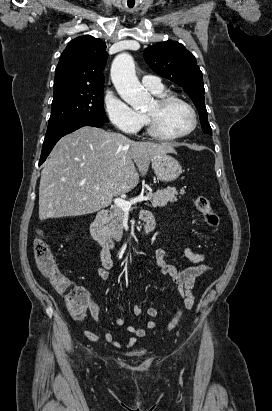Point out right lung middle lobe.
<instances>
[{"label":"right lung middle lobe","mask_w":272,"mask_h":411,"mask_svg":"<svg viewBox=\"0 0 272 411\" xmlns=\"http://www.w3.org/2000/svg\"><path fill=\"white\" fill-rule=\"evenodd\" d=\"M104 85L70 88L53 93L47 133L79 120L109 122L104 111Z\"/></svg>","instance_id":"right-lung-middle-lobe-1"}]
</instances>
